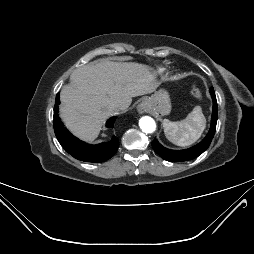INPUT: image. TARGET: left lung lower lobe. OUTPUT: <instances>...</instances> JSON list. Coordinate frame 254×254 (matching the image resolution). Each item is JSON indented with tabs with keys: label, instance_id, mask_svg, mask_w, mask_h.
<instances>
[{
	"label": "left lung lower lobe",
	"instance_id": "obj_1",
	"mask_svg": "<svg viewBox=\"0 0 254 254\" xmlns=\"http://www.w3.org/2000/svg\"><path fill=\"white\" fill-rule=\"evenodd\" d=\"M210 94L213 99V113H212V120H211V127L207 134V136L197 145L185 149V150H170L163 147L159 142L155 139L152 141V147L154 151L164 160L170 162H183L192 160L202 154L210 145L215 131H216V124H217V100L215 96V92L213 87L210 89Z\"/></svg>",
	"mask_w": 254,
	"mask_h": 254
}]
</instances>
